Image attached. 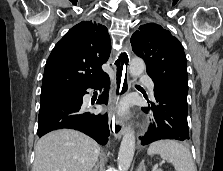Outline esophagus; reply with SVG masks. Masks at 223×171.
I'll use <instances>...</instances> for the list:
<instances>
[{"mask_svg": "<svg viewBox=\"0 0 223 171\" xmlns=\"http://www.w3.org/2000/svg\"><path fill=\"white\" fill-rule=\"evenodd\" d=\"M130 62V53L128 47L119 52L116 59L113 61V67L115 71V86L114 96L109 102V108L112 111L115 102L122 96L128 94L130 90V80L128 74V64ZM110 124L112 125V131L116 139H120L126 131L124 119L121 117H110Z\"/></svg>", "mask_w": 223, "mask_h": 171, "instance_id": "obj_1", "label": "esophagus"}]
</instances>
